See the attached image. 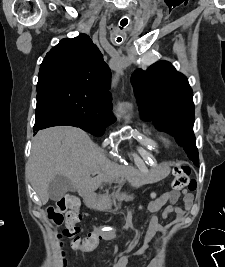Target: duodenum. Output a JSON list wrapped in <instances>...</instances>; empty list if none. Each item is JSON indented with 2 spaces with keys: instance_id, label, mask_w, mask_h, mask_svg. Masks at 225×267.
Wrapping results in <instances>:
<instances>
[{
  "instance_id": "1",
  "label": "duodenum",
  "mask_w": 225,
  "mask_h": 267,
  "mask_svg": "<svg viewBox=\"0 0 225 267\" xmlns=\"http://www.w3.org/2000/svg\"><path fill=\"white\" fill-rule=\"evenodd\" d=\"M86 197H87V203L90 205L91 201H92V195L91 194H87Z\"/></svg>"
}]
</instances>
